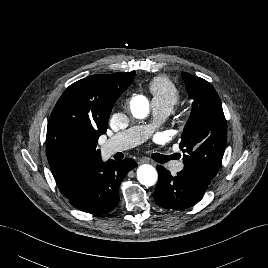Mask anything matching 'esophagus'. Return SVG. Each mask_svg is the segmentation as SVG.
<instances>
[{
  "mask_svg": "<svg viewBox=\"0 0 268 268\" xmlns=\"http://www.w3.org/2000/svg\"><path fill=\"white\" fill-rule=\"evenodd\" d=\"M149 162H150L149 159L146 157H141L137 161L138 164L149 163Z\"/></svg>",
  "mask_w": 268,
  "mask_h": 268,
  "instance_id": "obj_1",
  "label": "esophagus"
}]
</instances>
